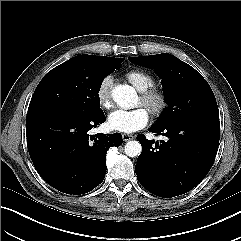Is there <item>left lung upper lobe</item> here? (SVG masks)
Segmentation results:
<instances>
[{"mask_svg":"<svg viewBox=\"0 0 241 241\" xmlns=\"http://www.w3.org/2000/svg\"><path fill=\"white\" fill-rule=\"evenodd\" d=\"M129 60L155 69L162 79L168 107L155 126L196 118L219 121L217 102L209 84L189 64L167 53L129 57Z\"/></svg>","mask_w":241,"mask_h":241,"instance_id":"obj_1","label":"left lung upper lobe"}]
</instances>
